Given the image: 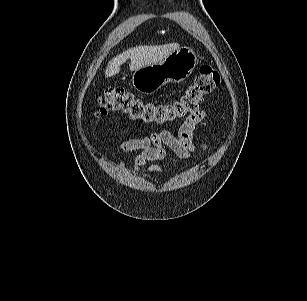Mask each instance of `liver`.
<instances>
[{
  "mask_svg": "<svg viewBox=\"0 0 307 301\" xmlns=\"http://www.w3.org/2000/svg\"><path fill=\"white\" fill-rule=\"evenodd\" d=\"M179 48L178 43L159 46H137L114 57L105 70V76L111 77L120 72V66L130 59V70L136 71L144 66L157 64Z\"/></svg>",
  "mask_w": 307,
  "mask_h": 301,
  "instance_id": "obj_1",
  "label": "liver"
}]
</instances>
